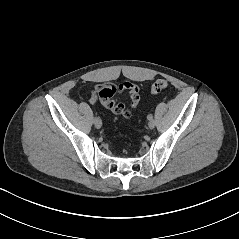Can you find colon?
Here are the masks:
<instances>
[{"label": "colon", "mask_w": 239, "mask_h": 239, "mask_svg": "<svg viewBox=\"0 0 239 239\" xmlns=\"http://www.w3.org/2000/svg\"><path fill=\"white\" fill-rule=\"evenodd\" d=\"M168 87V82L165 79L155 81L151 86V94H158Z\"/></svg>", "instance_id": "1"}]
</instances>
